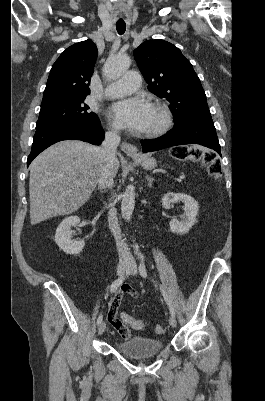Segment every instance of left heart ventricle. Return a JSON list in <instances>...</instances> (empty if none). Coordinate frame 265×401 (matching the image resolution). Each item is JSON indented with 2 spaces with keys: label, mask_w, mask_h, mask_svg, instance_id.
Returning <instances> with one entry per match:
<instances>
[{
  "label": "left heart ventricle",
  "mask_w": 265,
  "mask_h": 401,
  "mask_svg": "<svg viewBox=\"0 0 265 401\" xmlns=\"http://www.w3.org/2000/svg\"><path fill=\"white\" fill-rule=\"evenodd\" d=\"M159 121V112L154 108L151 107L150 113L147 118L146 126L143 130H150L158 124Z\"/></svg>",
  "instance_id": "left-heart-ventricle-1"
}]
</instances>
